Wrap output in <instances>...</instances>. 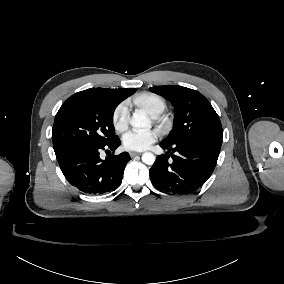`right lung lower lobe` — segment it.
<instances>
[{"label": "right lung lower lobe", "mask_w": 284, "mask_h": 284, "mask_svg": "<svg viewBox=\"0 0 284 284\" xmlns=\"http://www.w3.org/2000/svg\"><path fill=\"white\" fill-rule=\"evenodd\" d=\"M120 139L105 145H79L63 149L56 154L60 168L68 182L86 194L112 192L121 184L124 168L131 159L128 153L110 155L102 160L100 151L115 150Z\"/></svg>", "instance_id": "1"}]
</instances>
